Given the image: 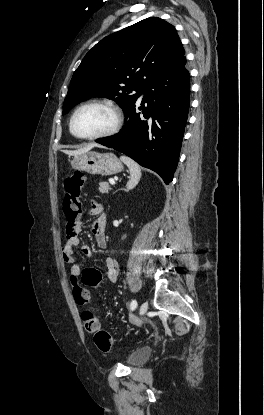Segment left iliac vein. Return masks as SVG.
<instances>
[{
	"instance_id": "obj_1",
	"label": "left iliac vein",
	"mask_w": 264,
	"mask_h": 415,
	"mask_svg": "<svg viewBox=\"0 0 264 415\" xmlns=\"http://www.w3.org/2000/svg\"><path fill=\"white\" fill-rule=\"evenodd\" d=\"M147 310H148V303L147 302H143L140 305V308H139V314H140V316H143L147 312Z\"/></svg>"
}]
</instances>
